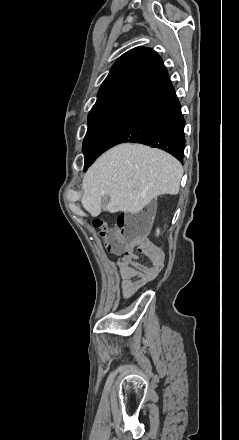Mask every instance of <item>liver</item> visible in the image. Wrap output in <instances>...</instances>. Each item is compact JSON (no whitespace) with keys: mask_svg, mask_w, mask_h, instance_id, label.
Returning <instances> with one entry per match:
<instances>
[{"mask_svg":"<svg viewBox=\"0 0 239 440\" xmlns=\"http://www.w3.org/2000/svg\"><path fill=\"white\" fill-rule=\"evenodd\" d=\"M180 162L163 150L142 144H119L102 154L83 178L81 204L92 218L101 212V198L110 196L106 212H141L160 194H179Z\"/></svg>","mask_w":239,"mask_h":440,"instance_id":"liver-1","label":"liver"}]
</instances>
